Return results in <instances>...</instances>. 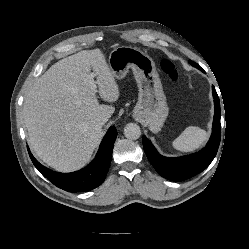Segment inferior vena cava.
Segmentation results:
<instances>
[{
	"mask_svg": "<svg viewBox=\"0 0 249 249\" xmlns=\"http://www.w3.org/2000/svg\"><path fill=\"white\" fill-rule=\"evenodd\" d=\"M108 121V117L107 116H101L97 119V122L100 124V125H104L106 122Z\"/></svg>",
	"mask_w": 249,
	"mask_h": 249,
	"instance_id": "602c4592",
	"label": "inferior vena cava"
}]
</instances>
